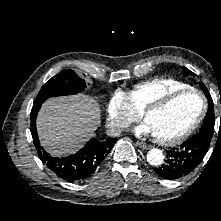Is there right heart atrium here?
<instances>
[{
	"label": "right heart atrium",
	"mask_w": 221,
	"mask_h": 221,
	"mask_svg": "<svg viewBox=\"0 0 221 221\" xmlns=\"http://www.w3.org/2000/svg\"><path fill=\"white\" fill-rule=\"evenodd\" d=\"M138 119L139 114L132 109L125 93L116 90L106 107V124L110 132L118 134Z\"/></svg>",
	"instance_id": "obj_1"
}]
</instances>
